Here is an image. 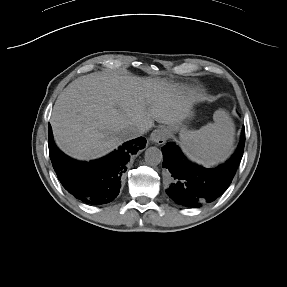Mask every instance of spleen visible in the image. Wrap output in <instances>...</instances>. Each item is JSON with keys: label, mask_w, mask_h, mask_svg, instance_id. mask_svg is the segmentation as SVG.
<instances>
[{"label": "spleen", "mask_w": 287, "mask_h": 287, "mask_svg": "<svg viewBox=\"0 0 287 287\" xmlns=\"http://www.w3.org/2000/svg\"><path fill=\"white\" fill-rule=\"evenodd\" d=\"M213 123L198 130H184L180 143L187 157L205 167L224 162L232 153L235 126L229 114L219 109L213 115Z\"/></svg>", "instance_id": "1"}]
</instances>
